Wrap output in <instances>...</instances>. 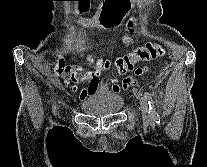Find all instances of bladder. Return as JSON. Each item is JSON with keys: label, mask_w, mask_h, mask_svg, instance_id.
<instances>
[{"label": "bladder", "mask_w": 207, "mask_h": 167, "mask_svg": "<svg viewBox=\"0 0 207 167\" xmlns=\"http://www.w3.org/2000/svg\"><path fill=\"white\" fill-rule=\"evenodd\" d=\"M123 98L116 95H106L85 101L82 110L93 116H104L117 113L123 106Z\"/></svg>", "instance_id": "bladder-1"}]
</instances>
